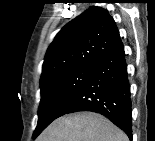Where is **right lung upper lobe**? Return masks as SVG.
<instances>
[{
    "mask_svg": "<svg viewBox=\"0 0 155 141\" xmlns=\"http://www.w3.org/2000/svg\"><path fill=\"white\" fill-rule=\"evenodd\" d=\"M120 40L114 19L107 10L91 7L65 25L49 46L41 82L75 68H95Z\"/></svg>",
    "mask_w": 155,
    "mask_h": 141,
    "instance_id": "obj_1",
    "label": "right lung upper lobe"
}]
</instances>
